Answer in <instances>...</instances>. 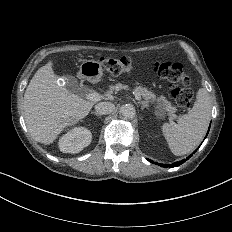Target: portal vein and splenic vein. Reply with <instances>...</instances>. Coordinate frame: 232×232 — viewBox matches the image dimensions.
<instances>
[{
  "label": "portal vein and splenic vein",
  "instance_id": "portal-vein-and-splenic-vein-1",
  "mask_svg": "<svg viewBox=\"0 0 232 232\" xmlns=\"http://www.w3.org/2000/svg\"><path fill=\"white\" fill-rule=\"evenodd\" d=\"M84 98L86 100H90V101H93V102H98L99 101V95L95 92H92V91H89L87 94H85ZM135 98L137 100H141V96L139 95H136Z\"/></svg>",
  "mask_w": 232,
  "mask_h": 232
}]
</instances>
